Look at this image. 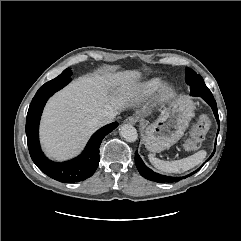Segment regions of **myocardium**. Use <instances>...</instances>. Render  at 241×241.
I'll return each mask as SVG.
<instances>
[{"label":"myocardium","mask_w":241,"mask_h":241,"mask_svg":"<svg viewBox=\"0 0 241 241\" xmlns=\"http://www.w3.org/2000/svg\"><path fill=\"white\" fill-rule=\"evenodd\" d=\"M175 94L174 87L170 84H164L161 86L156 94V101L158 103H164L170 100Z\"/></svg>","instance_id":"obj_1"}]
</instances>
